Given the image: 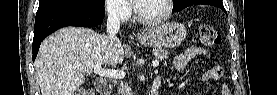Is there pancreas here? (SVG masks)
<instances>
[{
	"label": "pancreas",
	"instance_id": "obj_1",
	"mask_svg": "<svg viewBox=\"0 0 277 95\" xmlns=\"http://www.w3.org/2000/svg\"><path fill=\"white\" fill-rule=\"evenodd\" d=\"M154 56H155V59L157 60H164L166 58H168V51L166 50H155L154 51ZM119 92L122 94V95H127L129 94V87L127 85L125 86H121L119 88Z\"/></svg>",
	"mask_w": 277,
	"mask_h": 95
}]
</instances>
